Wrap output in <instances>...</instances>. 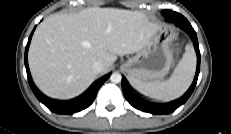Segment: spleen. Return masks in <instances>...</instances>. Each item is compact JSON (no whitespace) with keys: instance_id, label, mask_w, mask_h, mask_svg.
Listing matches in <instances>:
<instances>
[{"instance_id":"spleen-1","label":"spleen","mask_w":231,"mask_h":134,"mask_svg":"<svg viewBox=\"0 0 231 134\" xmlns=\"http://www.w3.org/2000/svg\"><path fill=\"white\" fill-rule=\"evenodd\" d=\"M195 69V50L192 45H186L182 59L168 80L147 83L131 79L130 84L147 97L160 101H171L186 92L193 80Z\"/></svg>"}]
</instances>
